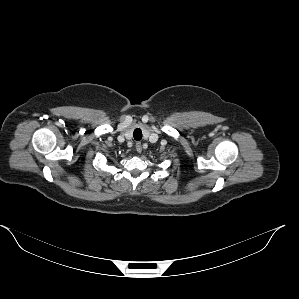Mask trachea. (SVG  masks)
I'll list each match as a JSON object with an SVG mask.
<instances>
[{
	"mask_svg": "<svg viewBox=\"0 0 299 299\" xmlns=\"http://www.w3.org/2000/svg\"><path fill=\"white\" fill-rule=\"evenodd\" d=\"M133 137H134V139L136 141L141 140L142 139V131H141V129H139V128L135 129L134 132H133Z\"/></svg>",
	"mask_w": 299,
	"mask_h": 299,
	"instance_id": "trachea-1",
	"label": "trachea"
}]
</instances>
